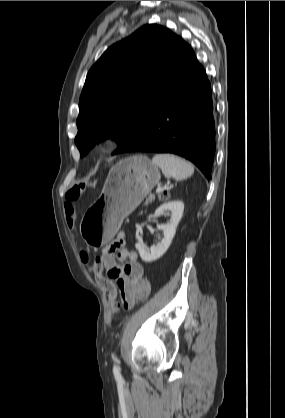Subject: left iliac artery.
Returning <instances> with one entry per match:
<instances>
[{
  "label": "left iliac artery",
  "mask_w": 285,
  "mask_h": 418,
  "mask_svg": "<svg viewBox=\"0 0 285 418\" xmlns=\"http://www.w3.org/2000/svg\"><path fill=\"white\" fill-rule=\"evenodd\" d=\"M113 359H114V362H115L114 367H113L114 376H115V378L121 380V373H120V368H119V365H118V363H119L118 359H117L116 356Z\"/></svg>",
  "instance_id": "1"
}]
</instances>
